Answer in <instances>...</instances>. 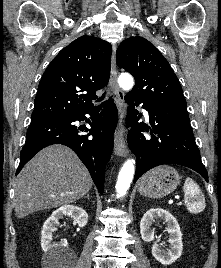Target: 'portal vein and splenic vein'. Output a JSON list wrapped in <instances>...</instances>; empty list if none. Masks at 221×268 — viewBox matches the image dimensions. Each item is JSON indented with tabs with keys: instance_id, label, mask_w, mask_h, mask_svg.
<instances>
[{
	"instance_id": "portal-vein-and-splenic-vein-1",
	"label": "portal vein and splenic vein",
	"mask_w": 221,
	"mask_h": 268,
	"mask_svg": "<svg viewBox=\"0 0 221 268\" xmlns=\"http://www.w3.org/2000/svg\"><path fill=\"white\" fill-rule=\"evenodd\" d=\"M172 203H173V200H170V201H169V204H172Z\"/></svg>"
}]
</instances>
